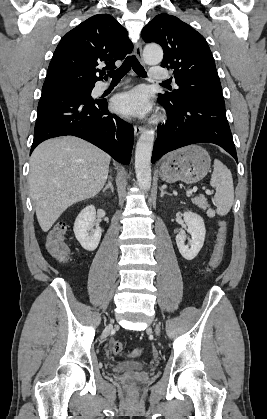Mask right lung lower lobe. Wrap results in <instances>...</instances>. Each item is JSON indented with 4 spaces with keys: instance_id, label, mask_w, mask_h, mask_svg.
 I'll return each instance as SVG.
<instances>
[{
    "instance_id": "right-lung-lower-lobe-1",
    "label": "right lung lower lobe",
    "mask_w": 267,
    "mask_h": 419,
    "mask_svg": "<svg viewBox=\"0 0 267 419\" xmlns=\"http://www.w3.org/2000/svg\"><path fill=\"white\" fill-rule=\"evenodd\" d=\"M73 135L98 146L116 161L129 164L133 127L107 109V102L64 88L42 89L31 152L41 142Z\"/></svg>"
}]
</instances>
